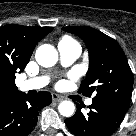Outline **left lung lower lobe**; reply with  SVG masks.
Wrapping results in <instances>:
<instances>
[{
	"label": "left lung lower lobe",
	"mask_w": 136,
	"mask_h": 136,
	"mask_svg": "<svg viewBox=\"0 0 136 136\" xmlns=\"http://www.w3.org/2000/svg\"><path fill=\"white\" fill-rule=\"evenodd\" d=\"M88 108L89 112L83 114L82 107L77 105L75 115L65 120L68 129L76 136H110L122 122L129 107L93 99Z\"/></svg>",
	"instance_id": "obj_1"
}]
</instances>
